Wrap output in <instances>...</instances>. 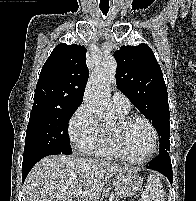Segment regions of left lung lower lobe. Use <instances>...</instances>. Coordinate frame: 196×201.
I'll return each instance as SVG.
<instances>
[{"instance_id": "0a47b994", "label": "left lung lower lobe", "mask_w": 196, "mask_h": 201, "mask_svg": "<svg viewBox=\"0 0 196 201\" xmlns=\"http://www.w3.org/2000/svg\"><path fill=\"white\" fill-rule=\"evenodd\" d=\"M147 168L162 173L172 184V165L168 151L159 153V155L147 166Z\"/></svg>"}]
</instances>
